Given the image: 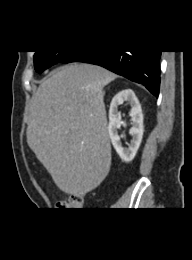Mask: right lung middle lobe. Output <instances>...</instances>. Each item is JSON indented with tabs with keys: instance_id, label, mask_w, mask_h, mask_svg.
I'll use <instances>...</instances> for the list:
<instances>
[{
	"instance_id": "1",
	"label": "right lung middle lobe",
	"mask_w": 192,
	"mask_h": 260,
	"mask_svg": "<svg viewBox=\"0 0 192 260\" xmlns=\"http://www.w3.org/2000/svg\"><path fill=\"white\" fill-rule=\"evenodd\" d=\"M69 51H36L34 55V68L41 73L50 66L61 62Z\"/></svg>"
}]
</instances>
